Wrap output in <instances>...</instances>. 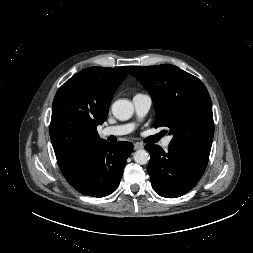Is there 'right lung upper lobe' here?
Returning <instances> with one entry per match:
<instances>
[{"mask_svg": "<svg viewBox=\"0 0 253 253\" xmlns=\"http://www.w3.org/2000/svg\"><path fill=\"white\" fill-rule=\"evenodd\" d=\"M129 68L89 67L57 91L52 104L50 138L63 175L95 144L104 141L96 128L107 118L113 94Z\"/></svg>", "mask_w": 253, "mask_h": 253, "instance_id": "obj_1", "label": "right lung upper lobe"}]
</instances>
